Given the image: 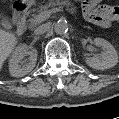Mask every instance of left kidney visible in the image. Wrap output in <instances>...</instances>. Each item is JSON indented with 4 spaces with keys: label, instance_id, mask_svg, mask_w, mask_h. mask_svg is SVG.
I'll return each mask as SVG.
<instances>
[{
    "label": "left kidney",
    "instance_id": "obj_1",
    "mask_svg": "<svg viewBox=\"0 0 119 119\" xmlns=\"http://www.w3.org/2000/svg\"><path fill=\"white\" fill-rule=\"evenodd\" d=\"M94 44L102 47L100 57H86V64L97 70H105L114 67L118 63V54L114 46L107 40L95 38Z\"/></svg>",
    "mask_w": 119,
    "mask_h": 119
}]
</instances>
